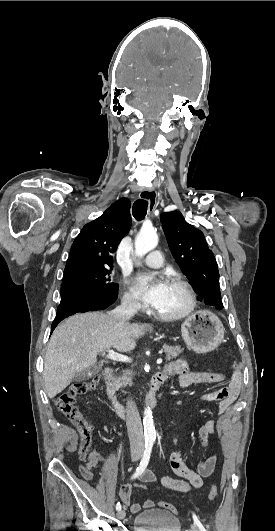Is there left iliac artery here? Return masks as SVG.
I'll list each match as a JSON object with an SVG mask.
<instances>
[{
	"mask_svg": "<svg viewBox=\"0 0 275 531\" xmlns=\"http://www.w3.org/2000/svg\"><path fill=\"white\" fill-rule=\"evenodd\" d=\"M193 519H194V522L196 523V525L198 526V528L200 529V531H207L204 526L202 525V523L199 521V519L197 518V516L195 515V513H193Z\"/></svg>",
	"mask_w": 275,
	"mask_h": 531,
	"instance_id": "left-iliac-artery-1",
	"label": "left iliac artery"
}]
</instances>
